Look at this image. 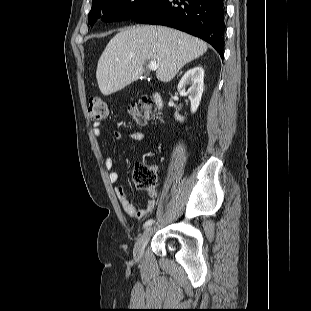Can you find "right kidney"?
Wrapping results in <instances>:
<instances>
[{
  "mask_svg": "<svg viewBox=\"0 0 311 311\" xmlns=\"http://www.w3.org/2000/svg\"><path fill=\"white\" fill-rule=\"evenodd\" d=\"M190 85L187 93H189V100L191 102V112L195 113L199 107L203 89H204V69L201 66L194 67L188 70L178 84L179 90H185V87ZM179 121H183V117L175 114Z\"/></svg>",
  "mask_w": 311,
  "mask_h": 311,
  "instance_id": "obj_1",
  "label": "right kidney"
}]
</instances>
